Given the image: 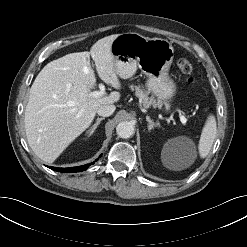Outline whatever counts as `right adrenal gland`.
<instances>
[{
	"instance_id": "2a0ac1e0",
	"label": "right adrenal gland",
	"mask_w": 247,
	"mask_h": 247,
	"mask_svg": "<svg viewBox=\"0 0 247 247\" xmlns=\"http://www.w3.org/2000/svg\"><path fill=\"white\" fill-rule=\"evenodd\" d=\"M104 119H105L104 117L103 118H97L96 123L88 130V132H87L89 134L88 136H91L94 133V131L96 130V128L98 127L100 122Z\"/></svg>"
}]
</instances>
